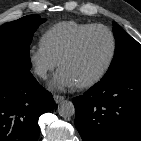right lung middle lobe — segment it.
<instances>
[{"mask_svg": "<svg viewBox=\"0 0 141 141\" xmlns=\"http://www.w3.org/2000/svg\"><path fill=\"white\" fill-rule=\"evenodd\" d=\"M45 21L39 15H28L0 26V72L30 70L31 39Z\"/></svg>", "mask_w": 141, "mask_h": 141, "instance_id": "dd1d6c3e", "label": "right lung middle lobe"}]
</instances>
